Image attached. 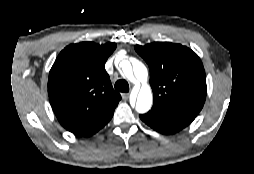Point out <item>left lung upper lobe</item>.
<instances>
[{"label": "left lung upper lobe", "instance_id": "1", "mask_svg": "<svg viewBox=\"0 0 254 174\" xmlns=\"http://www.w3.org/2000/svg\"><path fill=\"white\" fill-rule=\"evenodd\" d=\"M135 50L150 69L153 106L196 117L207 93L205 70L197 54L167 42L136 45Z\"/></svg>", "mask_w": 254, "mask_h": 174}]
</instances>
